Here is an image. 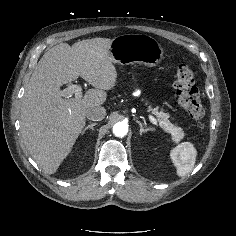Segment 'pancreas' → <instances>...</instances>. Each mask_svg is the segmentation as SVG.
I'll return each mask as SVG.
<instances>
[{
    "instance_id": "1",
    "label": "pancreas",
    "mask_w": 236,
    "mask_h": 236,
    "mask_svg": "<svg viewBox=\"0 0 236 236\" xmlns=\"http://www.w3.org/2000/svg\"><path fill=\"white\" fill-rule=\"evenodd\" d=\"M158 109H159L158 107L154 109L149 107V110L152 112V114H154L158 118L161 128L165 132L171 134L172 140L174 142L180 141L185 135L183 129L172 124L169 121L170 115L168 113H164L162 111H159Z\"/></svg>"
}]
</instances>
